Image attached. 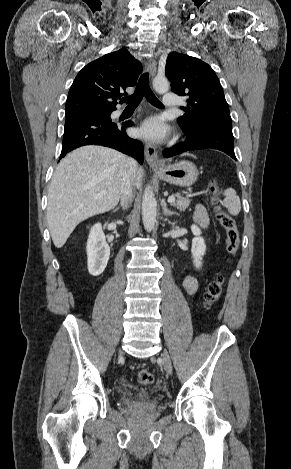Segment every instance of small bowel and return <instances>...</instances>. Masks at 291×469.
Instances as JSON below:
<instances>
[{"label": "small bowel", "instance_id": "small-bowel-1", "mask_svg": "<svg viewBox=\"0 0 291 469\" xmlns=\"http://www.w3.org/2000/svg\"><path fill=\"white\" fill-rule=\"evenodd\" d=\"M194 220L202 227H206L208 224V216L203 206H197L194 213ZM197 280L192 276H186L183 279V287L188 294H193L197 289Z\"/></svg>", "mask_w": 291, "mask_h": 469}]
</instances>
